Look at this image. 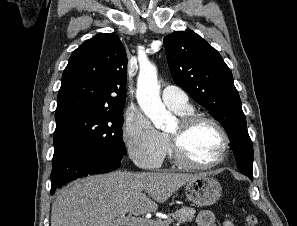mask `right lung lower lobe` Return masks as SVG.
Wrapping results in <instances>:
<instances>
[{
  "mask_svg": "<svg viewBox=\"0 0 297 226\" xmlns=\"http://www.w3.org/2000/svg\"><path fill=\"white\" fill-rule=\"evenodd\" d=\"M122 158L123 154L88 144L56 146L52 159L51 194L79 177L115 170L121 165Z\"/></svg>",
  "mask_w": 297,
  "mask_h": 226,
  "instance_id": "right-lung-lower-lobe-1",
  "label": "right lung lower lobe"
}]
</instances>
